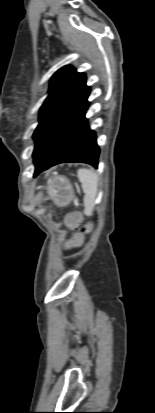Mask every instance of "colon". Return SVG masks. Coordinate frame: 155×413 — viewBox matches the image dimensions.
<instances>
[{"mask_svg": "<svg viewBox=\"0 0 155 413\" xmlns=\"http://www.w3.org/2000/svg\"><path fill=\"white\" fill-rule=\"evenodd\" d=\"M64 245L68 247H81L84 245V242L81 240H68L64 242Z\"/></svg>", "mask_w": 155, "mask_h": 413, "instance_id": "colon-1", "label": "colon"}]
</instances>
